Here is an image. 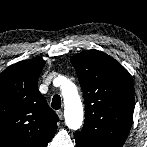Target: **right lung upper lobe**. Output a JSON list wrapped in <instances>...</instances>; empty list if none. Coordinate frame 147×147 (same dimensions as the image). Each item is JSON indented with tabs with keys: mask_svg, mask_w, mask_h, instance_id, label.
<instances>
[{
	"mask_svg": "<svg viewBox=\"0 0 147 147\" xmlns=\"http://www.w3.org/2000/svg\"><path fill=\"white\" fill-rule=\"evenodd\" d=\"M44 65L25 60L0 74V147H47L54 136L59 118L37 87Z\"/></svg>",
	"mask_w": 147,
	"mask_h": 147,
	"instance_id": "cb5924a9",
	"label": "right lung upper lobe"
}]
</instances>
